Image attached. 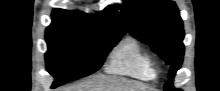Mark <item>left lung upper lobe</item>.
Returning a JSON list of instances; mask_svg holds the SVG:
<instances>
[{
  "label": "left lung upper lobe",
  "instance_id": "left-lung-upper-lobe-1",
  "mask_svg": "<svg viewBox=\"0 0 220 91\" xmlns=\"http://www.w3.org/2000/svg\"><path fill=\"white\" fill-rule=\"evenodd\" d=\"M119 8L129 32L171 64L169 78L173 81L184 55L183 23L175 3L171 0H126ZM165 90L178 91L171 82L166 83Z\"/></svg>",
  "mask_w": 220,
  "mask_h": 91
}]
</instances>
